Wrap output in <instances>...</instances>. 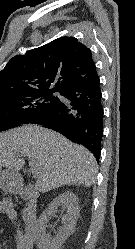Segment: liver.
I'll return each mask as SVG.
<instances>
[{
  "mask_svg": "<svg viewBox=\"0 0 135 249\" xmlns=\"http://www.w3.org/2000/svg\"><path fill=\"white\" fill-rule=\"evenodd\" d=\"M23 157L38 164L35 189L39 192L95 183L98 166L93 154L41 126L24 125L0 133V168L18 172L24 166Z\"/></svg>",
  "mask_w": 135,
  "mask_h": 249,
  "instance_id": "1",
  "label": "liver"
}]
</instances>
